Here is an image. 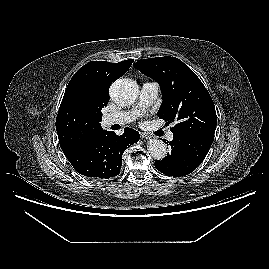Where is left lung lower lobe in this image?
Instances as JSON below:
<instances>
[{
	"instance_id": "1",
	"label": "left lung lower lobe",
	"mask_w": 269,
	"mask_h": 269,
	"mask_svg": "<svg viewBox=\"0 0 269 269\" xmlns=\"http://www.w3.org/2000/svg\"><path fill=\"white\" fill-rule=\"evenodd\" d=\"M214 137L210 135H173L171 152L163 160L155 161L158 171L168 176H185L193 172L205 159Z\"/></svg>"
}]
</instances>
